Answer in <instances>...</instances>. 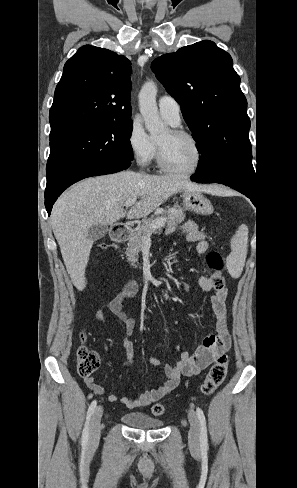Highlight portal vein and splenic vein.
<instances>
[{
	"label": "portal vein and splenic vein",
	"mask_w": 297,
	"mask_h": 488,
	"mask_svg": "<svg viewBox=\"0 0 297 488\" xmlns=\"http://www.w3.org/2000/svg\"><path fill=\"white\" fill-rule=\"evenodd\" d=\"M136 201H137V199H136V198H131V199H128V200L125 202L124 206H125L126 208H128V207L132 206L133 204H135V202H136ZM163 222H164V221H163L162 219H161V220H155V222H154V223H152L151 227H152V228H157L158 226H161V225L163 224ZM150 236H151V235H150V233H148V234H147V237H146V240H149V239H150Z\"/></svg>",
	"instance_id": "obj_1"
}]
</instances>
